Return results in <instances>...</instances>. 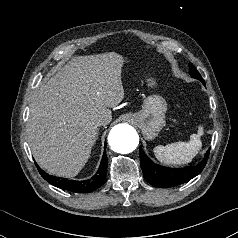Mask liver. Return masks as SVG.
<instances>
[{"mask_svg": "<svg viewBox=\"0 0 238 238\" xmlns=\"http://www.w3.org/2000/svg\"><path fill=\"white\" fill-rule=\"evenodd\" d=\"M121 55L109 52L72 58L35 91L27 139L41 168L74 177L84 167L98 134V120H112L109 108L125 96Z\"/></svg>", "mask_w": 238, "mask_h": 238, "instance_id": "6515ba94", "label": "liver"}]
</instances>
